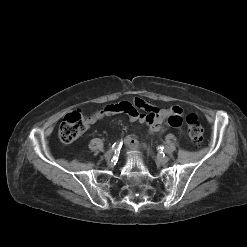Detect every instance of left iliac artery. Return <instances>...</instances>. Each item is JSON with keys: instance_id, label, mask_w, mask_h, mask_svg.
<instances>
[{"instance_id": "1", "label": "left iliac artery", "mask_w": 247, "mask_h": 247, "mask_svg": "<svg viewBox=\"0 0 247 247\" xmlns=\"http://www.w3.org/2000/svg\"><path fill=\"white\" fill-rule=\"evenodd\" d=\"M160 149L162 150V151H164L165 153H171L172 152V150L169 148V147H160Z\"/></svg>"}]
</instances>
